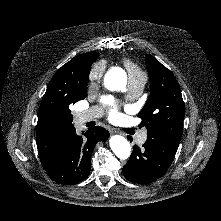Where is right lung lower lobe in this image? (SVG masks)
I'll list each match as a JSON object with an SVG mask.
<instances>
[{"mask_svg": "<svg viewBox=\"0 0 221 221\" xmlns=\"http://www.w3.org/2000/svg\"><path fill=\"white\" fill-rule=\"evenodd\" d=\"M109 132L95 126L88 129L83 136L76 134L73 127L64 133L58 148L45 169L47 175L55 182L71 185L86 179L90 173L91 155L97 142L106 141Z\"/></svg>", "mask_w": 221, "mask_h": 221, "instance_id": "98d812e1", "label": "right lung lower lobe"}]
</instances>
